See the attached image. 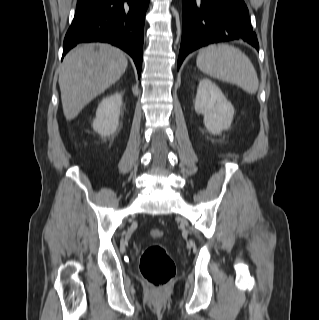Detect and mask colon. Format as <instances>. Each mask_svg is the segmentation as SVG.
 <instances>
[{
    "label": "colon",
    "instance_id": "5ec220e1",
    "mask_svg": "<svg viewBox=\"0 0 319 320\" xmlns=\"http://www.w3.org/2000/svg\"><path fill=\"white\" fill-rule=\"evenodd\" d=\"M149 235L154 239H160L164 232L161 229H152ZM140 272L153 288L154 295H159L174 277L175 264L162 244H153L145 249L141 257Z\"/></svg>",
    "mask_w": 319,
    "mask_h": 320
}]
</instances>
